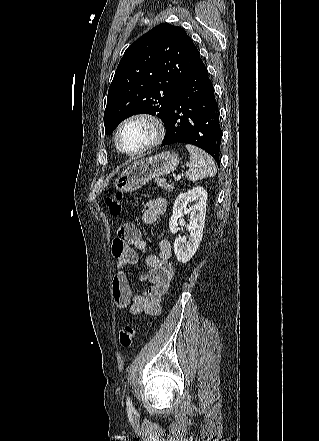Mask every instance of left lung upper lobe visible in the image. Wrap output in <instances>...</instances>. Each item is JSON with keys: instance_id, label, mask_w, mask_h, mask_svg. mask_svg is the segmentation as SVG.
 I'll use <instances>...</instances> for the list:
<instances>
[{"instance_id": "5c2ea615", "label": "left lung upper lobe", "mask_w": 319, "mask_h": 441, "mask_svg": "<svg viewBox=\"0 0 319 441\" xmlns=\"http://www.w3.org/2000/svg\"><path fill=\"white\" fill-rule=\"evenodd\" d=\"M200 61L181 27L162 23L137 39L126 49L109 87L105 134L139 113L157 115L166 126L179 86Z\"/></svg>"}]
</instances>
